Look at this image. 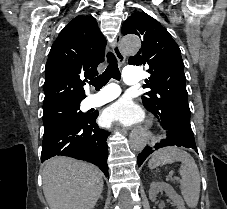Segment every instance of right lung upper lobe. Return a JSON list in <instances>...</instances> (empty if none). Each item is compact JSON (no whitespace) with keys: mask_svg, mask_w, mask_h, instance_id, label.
Instances as JSON below:
<instances>
[{"mask_svg":"<svg viewBox=\"0 0 227 209\" xmlns=\"http://www.w3.org/2000/svg\"><path fill=\"white\" fill-rule=\"evenodd\" d=\"M105 43L92 16H77L63 28L46 63L43 106L86 97L83 85L98 75Z\"/></svg>","mask_w":227,"mask_h":209,"instance_id":"right-lung-upper-lobe-1","label":"right lung upper lobe"}]
</instances>
